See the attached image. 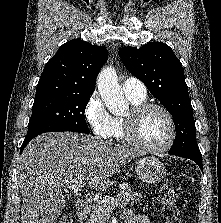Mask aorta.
Wrapping results in <instances>:
<instances>
[{"instance_id":"obj_1","label":"aorta","mask_w":221,"mask_h":223,"mask_svg":"<svg viewBox=\"0 0 221 223\" xmlns=\"http://www.w3.org/2000/svg\"><path fill=\"white\" fill-rule=\"evenodd\" d=\"M97 87L110 113L119 115L127 111L128 102L118 84L117 74L113 67H104L100 71Z\"/></svg>"}]
</instances>
